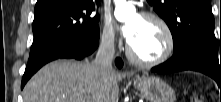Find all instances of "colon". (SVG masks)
<instances>
[{
  "label": "colon",
  "mask_w": 221,
  "mask_h": 102,
  "mask_svg": "<svg viewBox=\"0 0 221 102\" xmlns=\"http://www.w3.org/2000/svg\"><path fill=\"white\" fill-rule=\"evenodd\" d=\"M191 102H202V99L199 96H193Z\"/></svg>",
  "instance_id": "colon-1"
}]
</instances>
